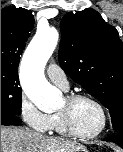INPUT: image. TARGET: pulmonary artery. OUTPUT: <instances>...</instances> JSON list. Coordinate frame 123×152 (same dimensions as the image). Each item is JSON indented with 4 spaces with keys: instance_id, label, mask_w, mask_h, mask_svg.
Wrapping results in <instances>:
<instances>
[{
    "instance_id": "obj_1",
    "label": "pulmonary artery",
    "mask_w": 123,
    "mask_h": 152,
    "mask_svg": "<svg viewBox=\"0 0 123 152\" xmlns=\"http://www.w3.org/2000/svg\"><path fill=\"white\" fill-rule=\"evenodd\" d=\"M46 73L50 81L67 90L69 88V82L63 69L55 63H50L46 68Z\"/></svg>"
}]
</instances>
